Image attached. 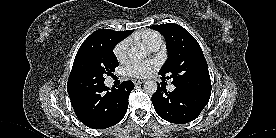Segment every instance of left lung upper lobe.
I'll list each match as a JSON object with an SVG mask.
<instances>
[{"mask_svg": "<svg viewBox=\"0 0 276 138\" xmlns=\"http://www.w3.org/2000/svg\"><path fill=\"white\" fill-rule=\"evenodd\" d=\"M166 40L168 59L159 74L162 80L173 79L178 88L199 92H211L208 65L196 39L178 24L151 26Z\"/></svg>", "mask_w": 276, "mask_h": 138, "instance_id": "5c2ea615", "label": "left lung upper lobe"}]
</instances>
